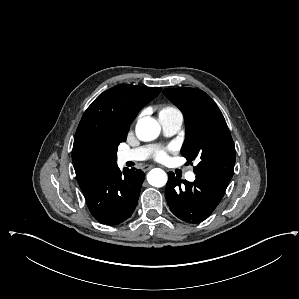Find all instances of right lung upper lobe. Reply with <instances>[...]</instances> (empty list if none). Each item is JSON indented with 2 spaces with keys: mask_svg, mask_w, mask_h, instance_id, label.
<instances>
[{
  "mask_svg": "<svg viewBox=\"0 0 299 299\" xmlns=\"http://www.w3.org/2000/svg\"><path fill=\"white\" fill-rule=\"evenodd\" d=\"M161 92V88L119 85L99 95L87 108L77 128L72 161L81 189L93 181L95 156L109 152L111 144L124 142L137 113Z\"/></svg>",
  "mask_w": 299,
  "mask_h": 299,
  "instance_id": "obj_1",
  "label": "right lung upper lobe"
}]
</instances>
